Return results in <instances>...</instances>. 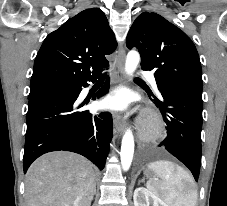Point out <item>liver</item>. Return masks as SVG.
Masks as SVG:
<instances>
[{
	"label": "liver",
	"instance_id": "6515ba94",
	"mask_svg": "<svg viewBox=\"0 0 227 206\" xmlns=\"http://www.w3.org/2000/svg\"><path fill=\"white\" fill-rule=\"evenodd\" d=\"M95 173L86 158L69 152H52L38 158L25 181L26 206H90Z\"/></svg>",
	"mask_w": 227,
	"mask_h": 206
}]
</instances>
